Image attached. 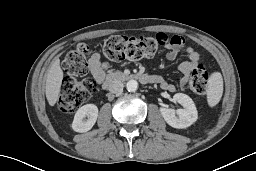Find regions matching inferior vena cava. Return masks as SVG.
I'll return each mask as SVG.
<instances>
[{"instance_id":"1","label":"inferior vena cava","mask_w":256,"mask_h":171,"mask_svg":"<svg viewBox=\"0 0 256 171\" xmlns=\"http://www.w3.org/2000/svg\"><path fill=\"white\" fill-rule=\"evenodd\" d=\"M123 83L119 80H115V81H112L109 85H108V90L111 92V93H120L123 91Z\"/></svg>"}]
</instances>
